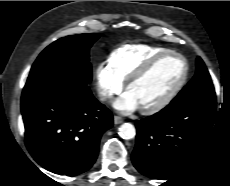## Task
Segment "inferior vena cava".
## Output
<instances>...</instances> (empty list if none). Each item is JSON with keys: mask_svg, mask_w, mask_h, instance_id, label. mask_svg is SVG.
Returning a JSON list of instances; mask_svg holds the SVG:
<instances>
[{"mask_svg": "<svg viewBox=\"0 0 230 186\" xmlns=\"http://www.w3.org/2000/svg\"><path fill=\"white\" fill-rule=\"evenodd\" d=\"M100 99L102 101H105L106 99H109L111 98V95L107 92H101L100 95H99Z\"/></svg>", "mask_w": 230, "mask_h": 186, "instance_id": "602c4592", "label": "inferior vena cava"}]
</instances>
